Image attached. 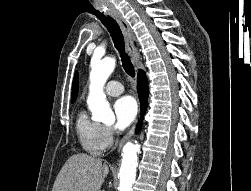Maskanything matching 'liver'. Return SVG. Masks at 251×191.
Listing matches in <instances>:
<instances>
[{
	"instance_id": "liver-1",
	"label": "liver",
	"mask_w": 251,
	"mask_h": 191,
	"mask_svg": "<svg viewBox=\"0 0 251 191\" xmlns=\"http://www.w3.org/2000/svg\"><path fill=\"white\" fill-rule=\"evenodd\" d=\"M109 167L100 157L75 153L60 169L52 191H98Z\"/></svg>"
}]
</instances>
